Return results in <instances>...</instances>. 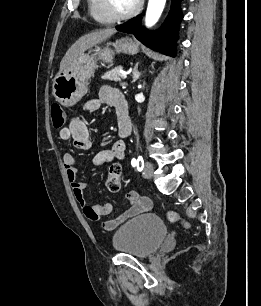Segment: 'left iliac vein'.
I'll use <instances>...</instances> for the list:
<instances>
[{"label":"left iliac vein","instance_id":"obj_1","mask_svg":"<svg viewBox=\"0 0 261 306\" xmlns=\"http://www.w3.org/2000/svg\"><path fill=\"white\" fill-rule=\"evenodd\" d=\"M153 171H154L153 165L150 162H146L143 169L144 177L146 179H150L153 175Z\"/></svg>","mask_w":261,"mask_h":306}]
</instances>
